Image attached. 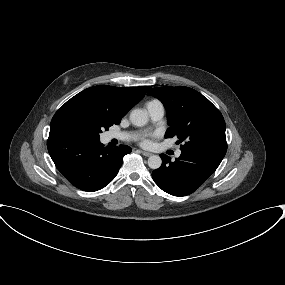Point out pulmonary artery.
Segmentation results:
<instances>
[{"label": "pulmonary artery", "mask_w": 285, "mask_h": 285, "mask_svg": "<svg viewBox=\"0 0 285 285\" xmlns=\"http://www.w3.org/2000/svg\"><path fill=\"white\" fill-rule=\"evenodd\" d=\"M147 112L149 114V117L152 121V123L157 124L159 123L165 115V109L162 103L159 101H151L147 103L146 105ZM134 135H131L129 133H109L108 139H119V140H129L133 138ZM181 155V151H176V156L179 157Z\"/></svg>", "instance_id": "pulmonary-artery-1"}]
</instances>
